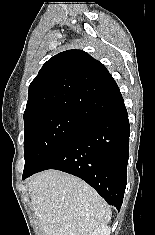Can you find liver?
Returning a JSON list of instances; mask_svg holds the SVG:
<instances>
[{"instance_id":"6515ba94","label":"liver","mask_w":155,"mask_h":235,"mask_svg":"<svg viewBox=\"0 0 155 235\" xmlns=\"http://www.w3.org/2000/svg\"><path fill=\"white\" fill-rule=\"evenodd\" d=\"M29 194L44 235H90L111 219L109 206L92 187L57 170L33 176Z\"/></svg>"}]
</instances>
